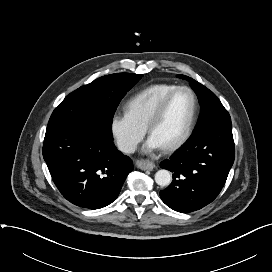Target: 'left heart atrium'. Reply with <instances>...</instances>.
Segmentation results:
<instances>
[{
	"label": "left heart atrium",
	"mask_w": 272,
	"mask_h": 272,
	"mask_svg": "<svg viewBox=\"0 0 272 272\" xmlns=\"http://www.w3.org/2000/svg\"><path fill=\"white\" fill-rule=\"evenodd\" d=\"M161 147V144L153 136H150L145 145V151L150 152Z\"/></svg>",
	"instance_id": "obj_1"
}]
</instances>
